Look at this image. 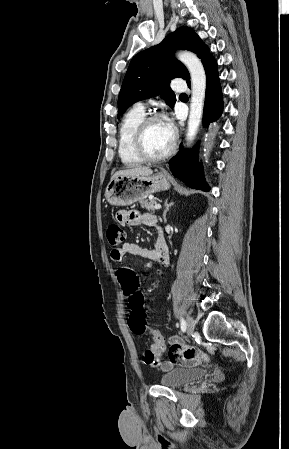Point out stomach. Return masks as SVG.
Instances as JSON below:
<instances>
[{
    "label": "stomach",
    "instance_id": "obj_1",
    "mask_svg": "<svg viewBox=\"0 0 289 449\" xmlns=\"http://www.w3.org/2000/svg\"><path fill=\"white\" fill-rule=\"evenodd\" d=\"M169 188V178L163 172L149 176H118L107 185L105 198L111 205L129 206Z\"/></svg>",
    "mask_w": 289,
    "mask_h": 449
}]
</instances>
